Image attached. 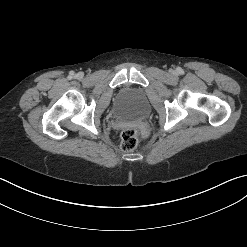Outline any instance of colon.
<instances>
[{
  "instance_id": "colon-1",
  "label": "colon",
  "mask_w": 247,
  "mask_h": 247,
  "mask_svg": "<svg viewBox=\"0 0 247 247\" xmlns=\"http://www.w3.org/2000/svg\"><path fill=\"white\" fill-rule=\"evenodd\" d=\"M138 144L137 131L134 128H124L120 135V148L124 152L132 151Z\"/></svg>"
}]
</instances>
